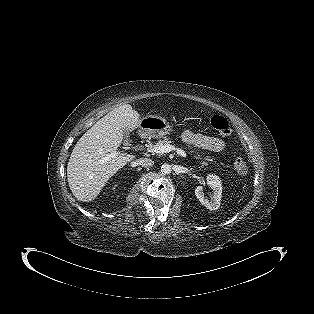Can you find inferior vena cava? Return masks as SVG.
<instances>
[{
	"label": "inferior vena cava",
	"instance_id": "obj_1",
	"mask_svg": "<svg viewBox=\"0 0 314 314\" xmlns=\"http://www.w3.org/2000/svg\"><path fill=\"white\" fill-rule=\"evenodd\" d=\"M136 165H140L145 168H150L154 165V161L150 158H140L136 161Z\"/></svg>",
	"mask_w": 314,
	"mask_h": 314
}]
</instances>
